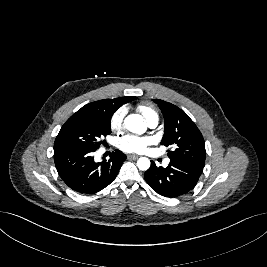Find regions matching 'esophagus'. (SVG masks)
<instances>
[{
    "instance_id": "obj_1",
    "label": "esophagus",
    "mask_w": 267,
    "mask_h": 267,
    "mask_svg": "<svg viewBox=\"0 0 267 267\" xmlns=\"http://www.w3.org/2000/svg\"><path fill=\"white\" fill-rule=\"evenodd\" d=\"M138 158H139V156L136 155V154L128 155V159H131V160H136V159H138Z\"/></svg>"
}]
</instances>
